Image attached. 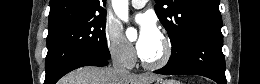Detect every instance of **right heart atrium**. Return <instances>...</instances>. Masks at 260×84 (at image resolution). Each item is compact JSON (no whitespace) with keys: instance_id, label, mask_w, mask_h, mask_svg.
Segmentation results:
<instances>
[{"instance_id":"d8ad5b80","label":"right heart atrium","mask_w":260,"mask_h":84,"mask_svg":"<svg viewBox=\"0 0 260 84\" xmlns=\"http://www.w3.org/2000/svg\"><path fill=\"white\" fill-rule=\"evenodd\" d=\"M104 40L109 55L116 63L124 67H130L134 64L135 51L126 41L116 23L107 21L104 28Z\"/></svg>"}]
</instances>
